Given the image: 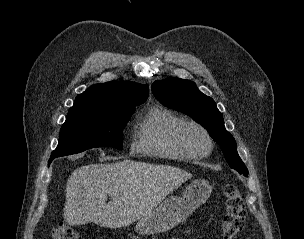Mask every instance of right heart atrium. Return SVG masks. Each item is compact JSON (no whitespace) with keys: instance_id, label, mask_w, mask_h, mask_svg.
<instances>
[{"instance_id":"d8ad5b80","label":"right heart atrium","mask_w":304,"mask_h":239,"mask_svg":"<svg viewBox=\"0 0 304 239\" xmlns=\"http://www.w3.org/2000/svg\"><path fill=\"white\" fill-rule=\"evenodd\" d=\"M137 147H138L137 138H136V136H133L132 142H131V148H132V149H137Z\"/></svg>"}]
</instances>
